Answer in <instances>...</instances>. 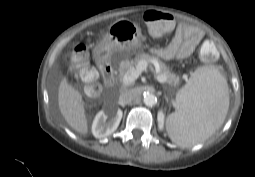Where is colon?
Segmentation results:
<instances>
[{"instance_id": "1", "label": "colon", "mask_w": 255, "mask_h": 177, "mask_svg": "<svg viewBox=\"0 0 255 177\" xmlns=\"http://www.w3.org/2000/svg\"><path fill=\"white\" fill-rule=\"evenodd\" d=\"M144 21L152 36L158 37L167 33L174 26V17L168 13L150 10L144 15ZM199 55L202 60L211 62L218 56L217 48L214 42L207 38L203 41L199 49ZM68 65L70 69L87 85V93L95 95L97 93L96 69L89 63L88 52L83 45L77 46L72 52Z\"/></svg>"}]
</instances>
